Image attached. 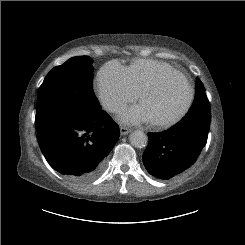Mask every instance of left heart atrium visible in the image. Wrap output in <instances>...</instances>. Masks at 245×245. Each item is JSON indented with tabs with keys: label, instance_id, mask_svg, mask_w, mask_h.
Listing matches in <instances>:
<instances>
[{
	"label": "left heart atrium",
	"instance_id": "left-heart-atrium-1",
	"mask_svg": "<svg viewBox=\"0 0 245 245\" xmlns=\"http://www.w3.org/2000/svg\"><path fill=\"white\" fill-rule=\"evenodd\" d=\"M121 122L126 124H140L149 122V116L142 104L127 109L120 117Z\"/></svg>",
	"mask_w": 245,
	"mask_h": 245
}]
</instances>
